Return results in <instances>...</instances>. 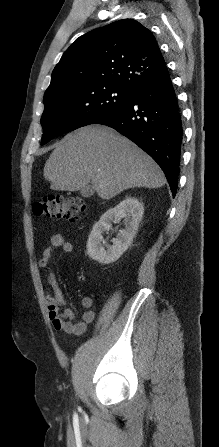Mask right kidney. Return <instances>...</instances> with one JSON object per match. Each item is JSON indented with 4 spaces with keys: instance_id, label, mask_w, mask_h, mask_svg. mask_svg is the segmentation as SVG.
<instances>
[{
    "instance_id": "1",
    "label": "right kidney",
    "mask_w": 219,
    "mask_h": 447,
    "mask_svg": "<svg viewBox=\"0 0 219 447\" xmlns=\"http://www.w3.org/2000/svg\"><path fill=\"white\" fill-rule=\"evenodd\" d=\"M144 213V207L138 199L127 196L115 207L107 210L100 220L93 226L87 241V254L101 264H110L117 261L128 249L137 233L139 223ZM125 220V228L119 231L112 245L102 243V234L109 231L112 222Z\"/></svg>"
}]
</instances>
